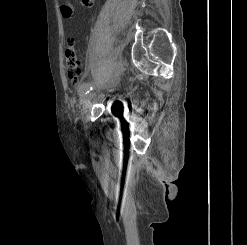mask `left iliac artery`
<instances>
[{
	"label": "left iliac artery",
	"instance_id": "1",
	"mask_svg": "<svg viewBox=\"0 0 247 245\" xmlns=\"http://www.w3.org/2000/svg\"><path fill=\"white\" fill-rule=\"evenodd\" d=\"M90 90H92L91 84L88 82H84L80 85L78 92L80 95H84V94L89 93Z\"/></svg>",
	"mask_w": 247,
	"mask_h": 245
}]
</instances>
